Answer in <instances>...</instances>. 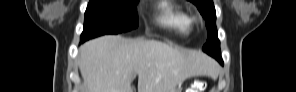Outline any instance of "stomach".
I'll use <instances>...</instances> for the list:
<instances>
[{
	"label": "stomach",
	"instance_id": "stomach-1",
	"mask_svg": "<svg viewBox=\"0 0 296 92\" xmlns=\"http://www.w3.org/2000/svg\"><path fill=\"white\" fill-rule=\"evenodd\" d=\"M170 92H181V88L180 87L179 88H174Z\"/></svg>",
	"mask_w": 296,
	"mask_h": 92
}]
</instances>
